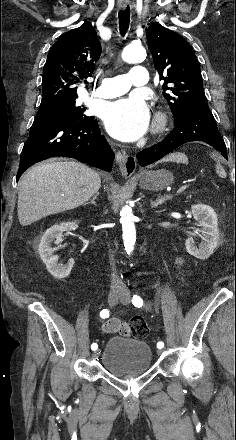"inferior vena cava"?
I'll list each match as a JSON object with an SVG mask.
<instances>
[{"instance_id": "1", "label": "inferior vena cava", "mask_w": 236, "mask_h": 440, "mask_svg": "<svg viewBox=\"0 0 236 440\" xmlns=\"http://www.w3.org/2000/svg\"><path fill=\"white\" fill-rule=\"evenodd\" d=\"M110 265L112 267L111 287L114 289L120 288L123 286V282L116 274L115 262L112 254H110Z\"/></svg>"}]
</instances>
